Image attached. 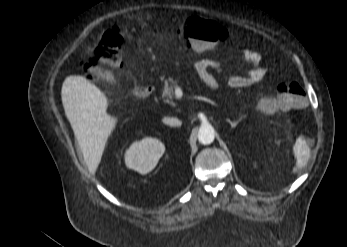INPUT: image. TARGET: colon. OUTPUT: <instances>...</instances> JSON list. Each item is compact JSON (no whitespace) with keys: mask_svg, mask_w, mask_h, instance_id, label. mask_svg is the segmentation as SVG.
<instances>
[{"mask_svg":"<svg viewBox=\"0 0 347 247\" xmlns=\"http://www.w3.org/2000/svg\"><path fill=\"white\" fill-rule=\"evenodd\" d=\"M180 35L198 52H210L226 41L228 31L215 21L197 16L188 18L180 29ZM122 30L113 27L106 30L89 57L83 62L86 76L95 80L98 72L107 68H119L122 65ZM304 88L297 82L280 84L277 94L269 99L262 98L258 109L272 115L277 110L300 109L305 106Z\"/></svg>","mask_w":347,"mask_h":247,"instance_id":"1","label":"colon"}]
</instances>
